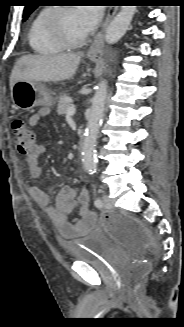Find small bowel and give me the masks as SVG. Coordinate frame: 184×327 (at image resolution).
Wrapping results in <instances>:
<instances>
[{
	"mask_svg": "<svg viewBox=\"0 0 184 327\" xmlns=\"http://www.w3.org/2000/svg\"><path fill=\"white\" fill-rule=\"evenodd\" d=\"M48 113L47 108L40 109L28 119V124L35 127ZM45 151L46 146L43 143H38L33 151L27 155L26 162L29 174L33 179H40L42 176L40 157ZM29 192L65 237L81 236L96 225V215L90 209L89 192L85 187L78 195L73 187H63L56 196L53 206L49 205L47 192L40 187L32 186ZM76 209L78 210L77 217L71 220L70 216Z\"/></svg>",
	"mask_w": 184,
	"mask_h": 327,
	"instance_id": "obj_1",
	"label": "small bowel"
}]
</instances>
